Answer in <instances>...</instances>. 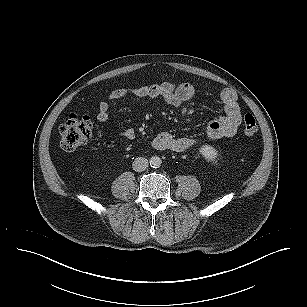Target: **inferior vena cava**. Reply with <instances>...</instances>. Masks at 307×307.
<instances>
[{"mask_svg":"<svg viewBox=\"0 0 307 307\" xmlns=\"http://www.w3.org/2000/svg\"><path fill=\"white\" fill-rule=\"evenodd\" d=\"M148 160L144 157H138L134 160L132 166L136 172H142L148 167Z\"/></svg>","mask_w":307,"mask_h":307,"instance_id":"inferior-vena-cava-1","label":"inferior vena cava"}]
</instances>
